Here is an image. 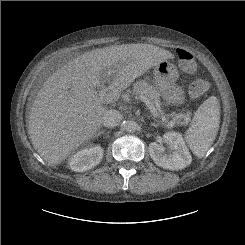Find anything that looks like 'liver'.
<instances>
[{"label":"liver","instance_id":"6515ba94","mask_svg":"<svg viewBox=\"0 0 245 245\" xmlns=\"http://www.w3.org/2000/svg\"><path fill=\"white\" fill-rule=\"evenodd\" d=\"M174 55L151 44L94 49L55 71L43 84L28 117L34 149L49 164H60L100 129L106 105L115 103L136 78ZM109 91L98 89L109 76Z\"/></svg>","mask_w":245,"mask_h":245}]
</instances>
